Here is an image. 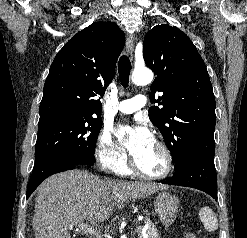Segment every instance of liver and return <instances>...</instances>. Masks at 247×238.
Segmentation results:
<instances>
[{
  "mask_svg": "<svg viewBox=\"0 0 247 238\" xmlns=\"http://www.w3.org/2000/svg\"><path fill=\"white\" fill-rule=\"evenodd\" d=\"M165 185L115 182L82 170H69L46 179L38 188L33 216L35 238H71L73 225L87 219L97 225L127 199L150 196Z\"/></svg>",
  "mask_w": 247,
  "mask_h": 238,
  "instance_id": "1",
  "label": "liver"
}]
</instances>
